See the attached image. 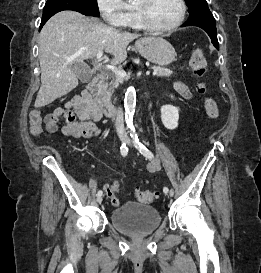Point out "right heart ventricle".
Instances as JSON below:
<instances>
[{
    "mask_svg": "<svg viewBox=\"0 0 261 273\" xmlns=\"http://www.w3.org/2000/svg\"><path fill=\"white\" fill-rule=\"evenodd\" d=\"M124 27L130 28L133 30L144 29L140 20H139V17H138L137 11H136V7L133 5L129 6V15L127 18L126 25Z\"/></svg>",
    "mask_w": 261,
    "mask_h": 273,
    "instance_id": "obj_1",
    "label": "right heart ventricle"
}]
</instances>
